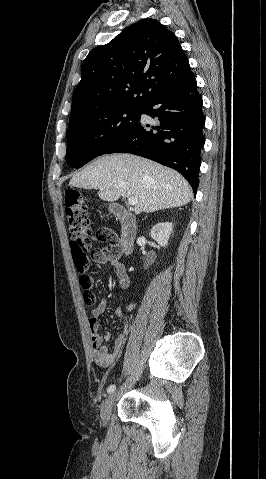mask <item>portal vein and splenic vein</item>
Wrapping results in <instances>:
<instances>
[{"instance_id":"obj_1","label":"portal vein and splenic vein","mask_w":266,"mask_h":479,"mask_svg":"<svg viewBox=\"0 0 266 479\" xmlns=\"http://www.w3.org/2000/svg\"><path fill=\"white\" fill-rule=\"evenodd\" d=\"M138 203V199L136 197H129L128 198V204L130 206H136Z\"/></svg>"}]
</instances>
